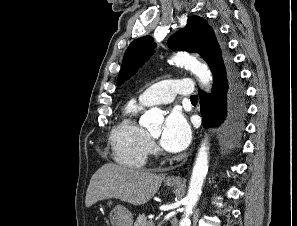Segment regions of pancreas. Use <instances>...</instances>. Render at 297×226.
I'll return each instance as SVG.
<instances>
[{
  "label": "pancreas",
  "mask_w": 297,
  "mask_h": 226,
  "mask_svg": "<svg viewBox=\"0 0 297 226\" xmlns=\"http://www.w3.org/2000/svg\"><path fill=\"white\" fill-rule=\"evenodd\" d=\"M134 226H154L153 220H147L145 214H140L134 223Z\"/></svg>",
  "instance_id": "pancreas-1"
}]
</instances>
